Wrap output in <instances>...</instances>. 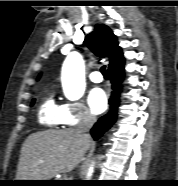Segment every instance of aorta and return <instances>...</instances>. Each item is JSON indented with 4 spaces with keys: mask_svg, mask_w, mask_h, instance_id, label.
I'll use <instances>...</instances> for the list:
<instances>
[{
    "mask_svg": "<svg viewBox=\"0 0 178 186\" xmlns=\"http://www.w3.org/2000/svg\"><path fill=\"white\" fill-rule=\"evenodd\" d=\"M61 81L66 98L78 100L83 96L85 91V71L84 61L79 53L72 52L66 57L62 67ZM93 172L94 165H91L87 177L91 178Z\"/></svg>",
    "mask_w": 178,
    "mask_h": 186,
    "instance_id": "obj_1",
    "label": "aorta"
}]
</instances>
